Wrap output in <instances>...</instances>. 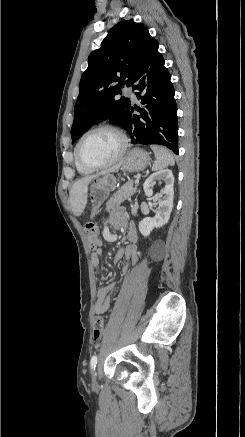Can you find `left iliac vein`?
Instances as JSON below:
<instances>
[{"label": "left iliac vein", "mask_w": 245, "mask_h": 437, "mask_svg": "<svg viewBox=\"0 0 245 437\" xmlns=\"http://www.w3.org/2000/svg\"><path fill=\"white\" fill-rule=\"evenodd\" d=\"M92 384H93V386L97 385V378H96V374L94 371L92 372Z\"/></svg>", "instance_id": "left-iliac-vein-1"}]
</instances>
